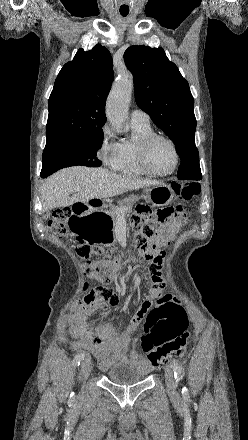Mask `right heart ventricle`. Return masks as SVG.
Returning a JSON list of instances; mask_svg holds the SVG:
<instances>
[{"mask_svg":"<svg viewBox=\"0 0 248 440\" xmlns=\"http://www.w3.org/2000/svg\"><path fill=\"white\" fill-rule=\"evenodd\" d=\"M133 137L119 143L118 159L114 170L131 176L147 175L138 161V146L140 141L154 131L149 125L132 123Z\"/></svg>","mask_w":248,"mask_h":440,"instance_id":"obj_1","label":"right heart ventricle"}]
</instances>
